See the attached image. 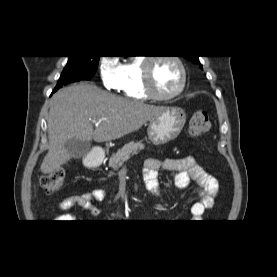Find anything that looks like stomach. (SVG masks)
<instances>
[{"instance_id":"1","label":"stomach","mask_w":277,"mask_h":277,"mask_svg":"<svg viewBox=\"0 0 277 277\" xmlns=\"http://www.w3.org/2000/svg\"><path fill=\"white\" fill-rule=\"evenodd\" d=\"M186 122L185 111L179 107H166L154 116L148 125L147 134L155 145L165 144L177 138Z\"/></svg>"}]
</instances>
